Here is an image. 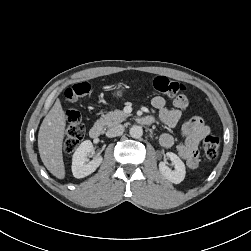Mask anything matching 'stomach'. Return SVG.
Listing matches in <instances>:
<instances>
[{
    "label": "stomach",
    "mask_w": 251,
    "mask_h": 251,
    "mask_svg": "<svg viewBox=\"0 0 251 251\" xmlns=\"http://www.w3.org/2000/svg\"><path fill=\"white\" fill-rule=\"evenodd\" d=\"M122 95H123V91L120 88H117L115 90V92L113 93V96L116 97V98H120V97H122Z\"/></svg>",
    "instance_id": "stomach-1"
}]
</instances>
